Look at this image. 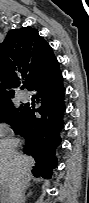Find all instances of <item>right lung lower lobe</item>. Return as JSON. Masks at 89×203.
I'll return each instance as SVG.
<instances>
[{"label":"right lung lower lobe","mask_w":89,"mask_h":203,"mask_svg":"<svg viewBox=\"0 0 89 203\" xmlns=\"http://www.w3.org/2000/svg\"><path fill=\"white\" fill-rule=\"evenodd\" d=\"M28 90L36 92L39 107H26L14 131L26 140L23 152L32 155L36 161L33 175L51 178L52 169L57 166L55 149L61 143L59 133L65 112V89L59 64L39 77Z\"/></svg>","instance_id":"obj_1"}]
</instances>
